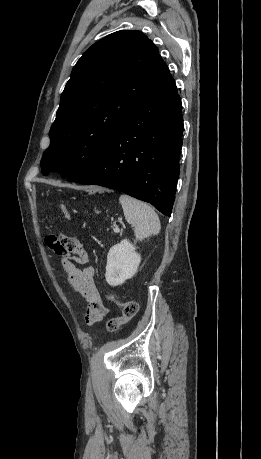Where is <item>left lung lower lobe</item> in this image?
Here are the masks:
<instances>
[{
	"label": "left lung lower lobe",
	"mask_w": 261,
	"mask_h": 459,
	"mask_svg": "<svg viewBox=\"0 0 261 459\" xmlns=\"http://www.w3.org/2000/svg\"><path fill=\"white\" fill-rule=\"evenodd\" d=\"M181 110V99L169 74L99 158L67 180L119 190L170 216L184 129Z\"/></svg>",
	"instance_id": "left-lung-lower-lobe-1"
}]
</instances>
